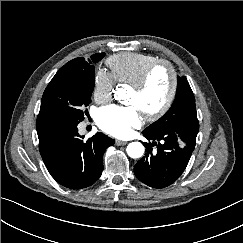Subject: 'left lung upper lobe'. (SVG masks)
I'll list each match as a JSON object with an SVG mask.
<instances>
[{
  "mask_svg": "<svg viewBox=\"0 0 243 243\" xmlns=\"http://www.w3.org/2000/svg\"><path fill=\"white\" fill-rule=\"evenodd\" d=\"M175 100L170 109L156 122L144 129L145 132L156 134L165 130H177L181 126L191 127L195 139L199 122L195 110V98L185 76H178Z\"/></svg>",
  "mask_w": 243,
  "mask_h": 243,
  "instance_id": "5c2ea615",
  "label": "left lung upper lobe"
}]
</instances>
